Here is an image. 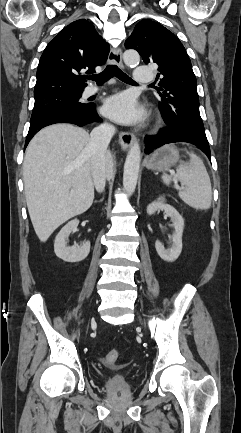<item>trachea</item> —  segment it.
I'll return each instance as SVG.
<instances>
[{
  "label": "trachea",
  "mask_w": 241,
  "mask_h": 433,
  "mask_svg": "<svg viewBox=\"0 0 241 433\" xmlns=\"http://www.w3.org/2000/svg\"><path fill=\"white\" fill-rule=\"evenodd\" d=\"M114 75L123 82L130 84H137L133 79L126 75L122 70H120L116 65H108L104 71L99 74L92 75L88 77L89 79L95 81L97 84H102L114 77Z\"/></svg>",
  "instance_id": "trachea-1"
}]
</instances>
